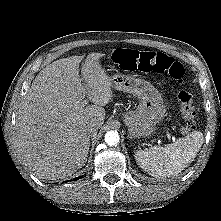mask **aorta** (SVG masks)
I'll return each instance as SVG.
<instances>
[{
	"label": "aorta",
	"instance_id": "obj_1",
	"mask_svg": "<svg viewBox=\"0 0 221 221\" xmlns=\"http://www.w3.org/2000/svg\"><path fill=\"white\" fill-rule=\"evenodd\" d=\"M120 140L119 134L117 131H108L105 134V142L109 145V146H114L116 145Z\"/></svg>",
	"mask_w": 221,
	"mask_h": 221
}]
</instances>
